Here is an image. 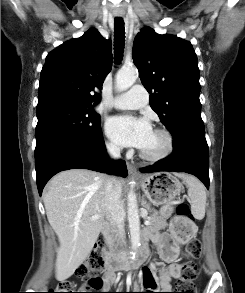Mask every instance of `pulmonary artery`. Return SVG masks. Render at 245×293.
I'll return each instance as SVG.
<instances>
[{
    "instance_id": "1",
    "label": "pulmonary artery",
    "mask_w": 245,
    "mask_h": 293,
    "mask_svg": "<svg viewBox=\"0 0 245 293\" xmlns=\"http://www.w3.org/2000/svg\"><path fill=\"white\" fill-rule=\"evenodd\" d=\"M149 95L141 85L133 86L129 91L116 97L112 105L117 109H138L148 104Z\"/></svg>"
}]
</instances>
